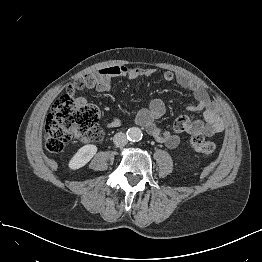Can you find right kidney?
<instances>
[{"instance_id": "1", "label": "right kidney", "mask_w": 262, "mask_h": 262, "mask_svg": "<svg viewBox=\"0 0 262 262\" xmlns=\"http://www.w3.org/2000/svg\"><path fill=\"white\" fill-rule=\"evenodd\" d=\"M96 152L97 147L95 145L89 144L81 147L69 161V168L77 170L85 166L93 158Z\"/></svg>"}]
</instances>
